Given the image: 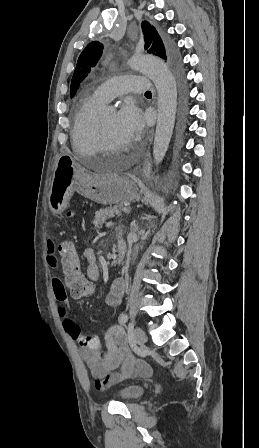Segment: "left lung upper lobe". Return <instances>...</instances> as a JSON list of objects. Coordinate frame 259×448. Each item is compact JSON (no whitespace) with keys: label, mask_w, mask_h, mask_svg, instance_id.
Listing matches in <instances>:
<instances>
[{"label":"left lung upper lobe","mask_w":259,"mask_h":448,"mask_svg":"<svg viewBox=\"0 0 259 448\" xmlns=\"http://www.w3.org/2000/svg\"><path fill=\"white\" fill-rule=\"evenodd\" d=\"M142 30L145 39V49H148L149 53L159 56L163 59H167L168 56L169 61L171 62L173 58V52L169 47L165 48L162 39L156 29L147 21H144L142 22ZM102 48V44H100L98 41H94L89 43L80 54L77 61V67L74 71L71 81V97L74 96V94L76 93V89L83 81V79L88 75L91 67H94L96 65L102 54Z\"/></svg>","instance_id":"5c2ea615"}]
</instances>
